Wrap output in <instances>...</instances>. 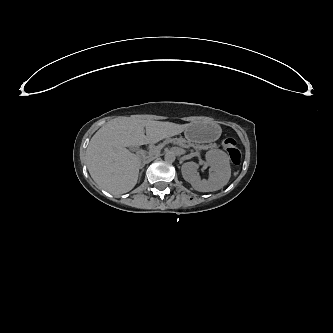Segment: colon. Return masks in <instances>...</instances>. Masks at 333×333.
<instances>
[{"mask_svg":"<svg viewBox=\"0 0 333 333\" xmlns=\"http://www.w3.org/2000/svg\"><path fill=\"white\" fill-rule=\"evenodd\" d=\"M222 145L226 149L231 162L234 165H239L241 163L242 155L236 140L234 138H226L223 140Z\"/></svg>","mask_w":333,"mask_h":333,"instance_id":"1","label":"colon"}]
</instances>
